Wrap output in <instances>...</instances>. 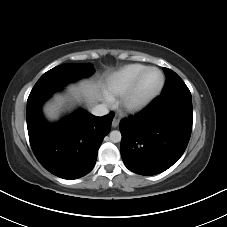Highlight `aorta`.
I'll use <instances>...</instances> for the list:
<instances>
[{
	"label": "aorta",
	"instance_id": "1",
	"mask_svg": "<svg viewBox=\"0 0 227 227\" xmlns=\"http://www.w3.org/2000/svg\"><path fill=\"white\" fill-rule=\"evenodd\" d=\"M121 133L120 131L114 130L110 132V141L113 143H118L121 141Z\"/></svg>",
	"mask_w": 227,
	"mask_h": 227
}]
</instances>
